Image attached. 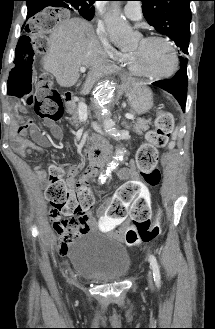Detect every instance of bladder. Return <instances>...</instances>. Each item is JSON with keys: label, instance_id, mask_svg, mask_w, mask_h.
<instances>
[{"label": "bladder", "instance_id": "31cf9c89", "mask_svg": "<svg viewBox=\"0 0 215 329\" xmlns=\"http://www.w3.org/2000/svg\"><path fill=\"white\" fill-rule=\"evenodd\" d=\"M70 256L81 276L99 283L121 281L131 269L126 246L116 237L98 231H88L74 239Z\"/></svg>", "mask_w": 215, "mask_h": 329}]
</instances>
